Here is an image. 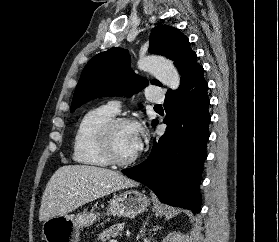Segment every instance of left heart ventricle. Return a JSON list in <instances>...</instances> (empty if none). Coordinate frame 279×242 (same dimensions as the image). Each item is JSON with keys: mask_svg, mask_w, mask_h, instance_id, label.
<instances>
[{"mask_svg": "<svg viewBox=\"0 0 279 242\" xmlns=\"http://www.w3.org/2000/svg\"><path fill=\"white\" fill-rule=\"evenodd\" d=\"M137 127L123 125L114 134L113 145L118 157L126 159L137 152L136 148Z\"/></svg>", "mask_w": 279, "mask_h": 242, "instance_id": "1", "label": "left heart ventricle"}]
</instances>
